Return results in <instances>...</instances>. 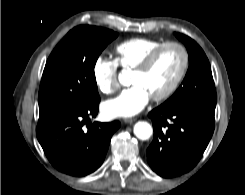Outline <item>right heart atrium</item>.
<instances>
[{"instance_id":"1","label":"right heart atrium","mask_w":245,"mask_h":195,"mask_svg":"<svg viewBox=\"0 0 245 195\" xmlns=\"http://www.w3.org/2000/svg\"><path fill=\"white\" fill-rule=\"evenodd\" d=\"M118 65L115 60L99 56L93 63L92 75L97 89L106 95L115 93L119 88L117 80Z\"/></svg>"}]
</instances>
